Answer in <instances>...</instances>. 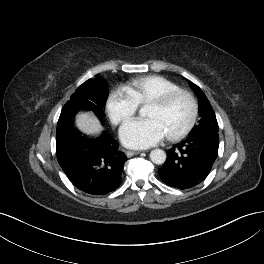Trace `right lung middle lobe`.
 Masks as SVG:
<instances>
[{"mask_svg":"<svg viewBox=\"0 0 264 264\" xmlns=\"http://www.w3.org/2000/svg\"><path fill=\"white\" fill-rule=\"evenodd\" d=\"M107 97L108 89L101 77L97 76L84 82L63 107L57 124L56 138L73 127V117L79 110H91L102 120Z\"/></svg>","mask_w":264,"mask_h":264,"instance_id":"obj_1","label":"right lung middle lobe"}]
</instances>
